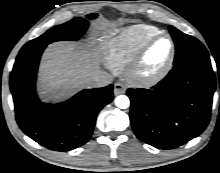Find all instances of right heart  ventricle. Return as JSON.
<instances>
[{"instance_id": "obj_1", "label": "right heart ventricle", "mask_w": 220, "mask_h": 173, "mask_svg": "<svg viewBox=\"0 0 220 173\" xmlns=\"http://www.w3.org/2000/svg\"><path fill=\"white\" fill-rule=\"evenodd\" d=\"M158 33V28L146 24L110 31L104 36L102 46L106 65L117 73L123 72L132 62L140 46Z\"/></svg>"}]
</instances>
